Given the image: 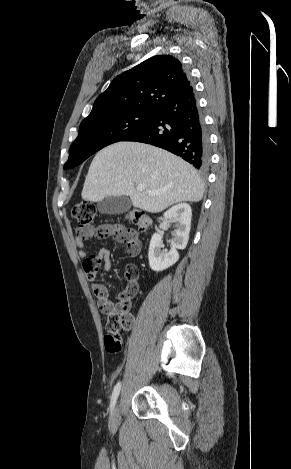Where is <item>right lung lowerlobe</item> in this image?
Instances as JSON below:
<instances>
[{"label":"right lung lower lobe","instance_id":"right-lung-lower-lobe-1","mask_svg":"<svg viewBox=\"0 0 291 469\" xmlns=\"http://www.w3.org/2000/svg\"><path fill=\"white\" fill-rule=\"evenodd\" d=\"M122 141L166 149L202 171L210 163L209 138L192 86L175 91L158 104L150 119Z\"/></svg>","mask_w":291,"mask_h":469}]
</instances>
